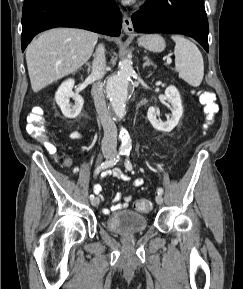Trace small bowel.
Segmentation results:
<instances>
[{
	"instance_id": "obj_1",
	"label": "small bowel",
	"mask_w": 243,
	"mask_h": 289,
	"mask_svg": "<svg viewBox=\"0 0 243 289\" xmlns=\"http://www.w3.org/2000/svg\"><path fill=\"white\" fill-rule=\"evenodd\" d=\"M70 137L72 139H81L82 138V133L78 132V131H74L70 134ZM110 174L117 178L120 179L122 181H130L131 178L124 173L120 168H114L111 170ZM144 184V180L141 177L135 178L132 180V185L134 187H140ZM95 193H100L102 191V186L100 184H96L93 188ZM131 196L127 195V196H123L121 193H116V195L113 198V205L111 206L110 209H103V213L104 214H109L110 212L113 211H118L121 209H124L128 206L129 202L131 201Z\"/></svg>"
}]
</instances>
